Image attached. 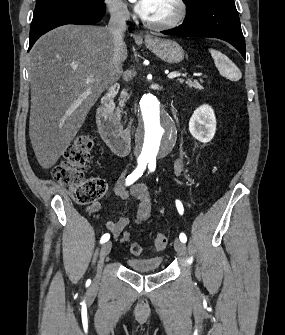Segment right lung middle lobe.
Here are the masks:
<instances>
[{
    "mask_svg": "<svg viewBox=\"0 0 285 335\" xmlns=\"http://www.w3.org/2000/svg\"><path fill=\"white\" fill-rule=\"evenodd\" d=\"M57 3H68L88 7H100L104 5L102 0H36V7L34 12L42 10L46 7H49Z\"/></svg>",
    "mask_w": 285,
    "mask_h": 335,
    "instance_id": "obj_1",
    "label": "right lung middle lobe"
}]
</instances>
